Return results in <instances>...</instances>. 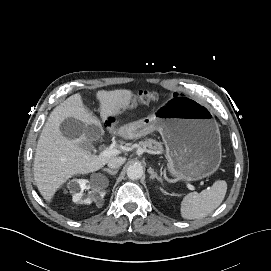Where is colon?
Listing matches in <instances>:
<instances>
[{"mask_svg":"<svg viewBox=\"0 0 271 271\" xmlns=\"http://www.w3.org/2000/svg\"><path fill=\"white\" fill-rule=\"evenodd\" d=\"M158 97H159V95L155 92L143 91V92L139 93V95L137 97V102L142 103V104H146L150 101L157 100Z\"/></svg>","mask_w":271,"mask_h":271,"instance_id":"colon-1","label":"colon"}]
</instances>
